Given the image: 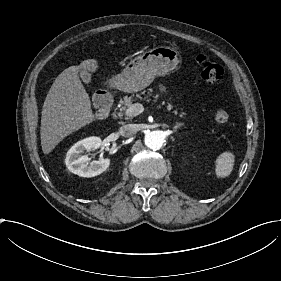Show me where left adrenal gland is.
<instances>
[{
    "mask_svg": "<svg viewBox=\"0 0 281 281\" xmlns=\"http://www.w3.org/2000/svg\"><path fill=\"white\" fill-rule=\"evenodd\" d=\"M180 125H181V123H177V124H176V127H178V126H180Z\"/></svg>",
    "mask_w": 281,
    "mask_h": 281,
    "instance_id": "left-adrenal-gland-1",
    "label": "left adrenal gland"
}]
</instances>
